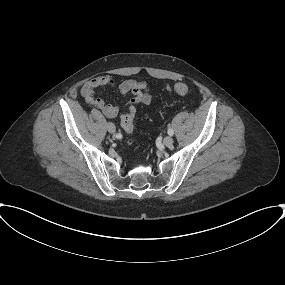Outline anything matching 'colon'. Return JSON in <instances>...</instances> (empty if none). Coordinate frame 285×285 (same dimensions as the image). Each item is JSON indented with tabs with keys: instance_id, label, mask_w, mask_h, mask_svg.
Instances as JSON below:
<instances>
[{
	"instance_id": "5ec220e1",
	"label": "colon",
	"mask_w": 285,
	"mask_h": 285,
	"mask_svg": "<svg viewBox=\"0 0 285 285\" xmlns=\"http://www.w3.org/2000/svg\"><path fill=\"white\" fill-rule=\"evenodd\" d=\"M169 90L179 94L187 95L191 92V88L188 84L179 82L169 87ZM136 113V108L132 105L129 106L128 111L121 116V126L129 134L133 133L134 130V117ZM129 142H132L131 140Z\"/></svg>"
}]
</instances>
